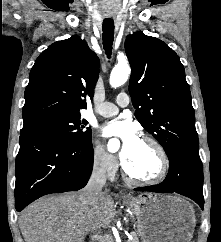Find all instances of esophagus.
<instances>
[{"instance_id": "1", "label": "esophagus", "mask_w": 221, "mask_h": 242, "mask_svg": "<svg viewBox=\"0 0 221 242\" xmlns=\"http://www.w3.org/2000/svg\"><path fill=\"white\" fill-rule=\"evenodd\" d=\"M120 195L127 196V194L124 191H120Z\"/></svg>"}]
</instances>
